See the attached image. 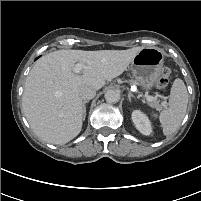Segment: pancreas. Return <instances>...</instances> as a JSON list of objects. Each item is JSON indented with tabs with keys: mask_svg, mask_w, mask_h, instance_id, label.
<instances>
[{
	"mask_svg": "<svg viewBox=\"0 0 201 201\" xmlns=\"http://www.w3.org/2000/svg\"><path fill=\"white\" fill-rule=\"evenodd\" d=\"M134 81H130V84H134ZM149 105L153 108H156L157 110H161L162 106L159 104L157 99L155 98L154 101H149Z\"/></svg>",
	"mask_w": 201,
	"mask_h": 201,
	"instance_id": "pancreas-1",
	"label": "pancreas"
}]
</instances>
